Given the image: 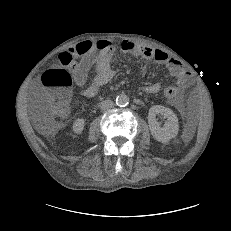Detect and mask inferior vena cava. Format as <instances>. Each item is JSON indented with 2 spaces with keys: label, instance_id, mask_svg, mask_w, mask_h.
Here are the masks:
<instances>
[{
  "label": "inferior vena cava",
  "instance_id": "602c4592",
  "mask_svg": "<svg viewBox=\"0 0 231 231\" xmlns=\"http://www.w3.org/2000/svg\"><path fill=\"white\" fill-rule=\"evenodd\" d=\"M114 106V103L112 100H104L100 103V108L105 111L109 110Z\"/></svg>",
  "mask_w": 231,
  "mask_h": 231
}]
</instances>
